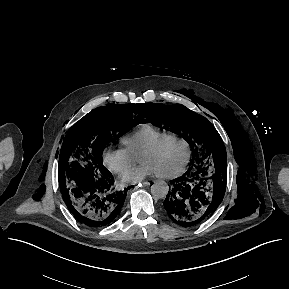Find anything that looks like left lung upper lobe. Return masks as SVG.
<instances>
[{
    "label": "left lung upper lobe",
    "mask_w": 289,
    "mask_h": 289,
    "mask_svg": "<svg viewBox=\"0 0 289 289\" xmlns=\"http://www.w3.org/2000/svg\"><path fill=\"white\" fill-rule=\"evenodd\" d=\"M138 118L141 122L171 130L184 138L191 146L193 157L189 168L214 169L226 162L224 143L213 125L203 116L181 104H142Z\"/></svg>",
    "instance_id": "1"
}]
</instances>
